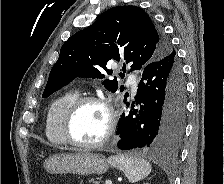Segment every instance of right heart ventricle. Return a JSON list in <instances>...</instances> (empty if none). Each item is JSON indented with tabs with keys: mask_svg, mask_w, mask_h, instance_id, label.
<instances>
[{
	"mask_svg": "<svg viewBox=\"0 0 224 184\" xmlns=\"http://www.w3.org/2000/svg\"><path fill=\"white\" fill-rule=\"evenodd\" d=\"M78 96L76 90H68L58 96L49 106L45 121V134L53 145L66 144L61 131L62 119L66 109Z\"/></svg>",
	"mask_w": 224,
	"mask_h": 184,
	"instance_id": "right-heart-ventricle-1",
	"label": "right heart ventricle"
}]
</instances>
